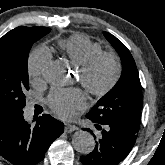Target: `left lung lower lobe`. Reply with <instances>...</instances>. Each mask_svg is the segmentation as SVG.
<instances>
[{
  "label": "left lung lower lobe",
  "mask_w": 165,
  "mask_h": 165,
  "mask_svg": "<svg viewBox=\"0 0 165 165\" xmlns=\"http://www.w3.org/2000/svg\"><path fill=\"white\" fill-rule=\"evenodd\" d=\"M91 121L101 133L94 150L81 156L80 161L83 165H118L133 148L138 131L114 123Z\"/></svg>",
  "instance_id": "left-lung-lower-lobe-1"
}]
</instances>
